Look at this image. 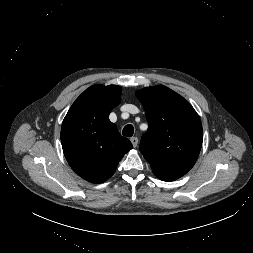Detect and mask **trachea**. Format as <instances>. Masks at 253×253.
Segmentation results:
<instances>
[{
  "label": "trachea",
  "instance_id": "3493384b",
  "mask_svg": "<svg viewBox=\"0 0 253 253\" xmlns=\"http://www.w3.org/2000/svg\"><path fill=\"white\" fill-rule=\"evenodd\" d=\"M134 133V128L131 124L126 125L123 128L122 134L126 137H131Z\"/></svg>",
  "mask_w": 253,
  "mask_h": 253
}]
</instances>
